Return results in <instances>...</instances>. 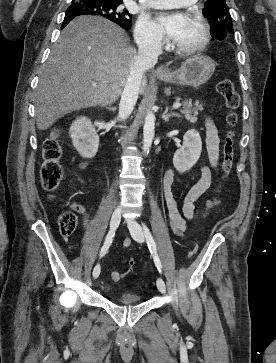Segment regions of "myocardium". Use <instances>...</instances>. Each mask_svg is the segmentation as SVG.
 Wrapping results in <instances>:
<instances>
[{"label": "myocardium", "mask_w": 276, "mask_h": 363, "mask_svg": "<svg viewBox=\"0 0 276 363\" xmlns=\"http://www.w3.org/2000/svg\"><path fill=\"white\" fill-rule=\"evenodd\" d=\"M189 17H191L201 26L202 38L200 42L194 46L184 47L176 45L175 43L173 44V48L175 51H177L181 55H186V56L195 55L202 52L209 44L211 38L209 24L206 18L202 14H200L199 12L190 11Z\"/></svg>", "instance_id": "myocardium-1"}]
</instances>
